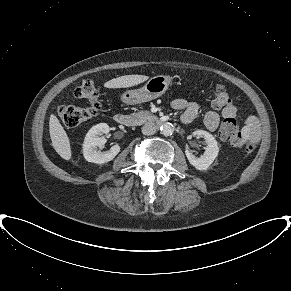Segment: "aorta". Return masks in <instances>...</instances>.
<instances>
[{
  "instance_id": "obj_1",
  "label": "aorta",
  "mask_w": 291,
  "mask_h": 291,
  "mask_svg": "<svg viewBox=\"0 0 291 291\" xmlns=\"http://www.w3.org/2000/svg\"><path fill=\"white\" fill-rule=\"evenodd\" d=\"M160 130H161L163 135L170 136L174 132V127L171 123L167 122V123H164L161 125Z\"/></svg>"
}]
</instances>
